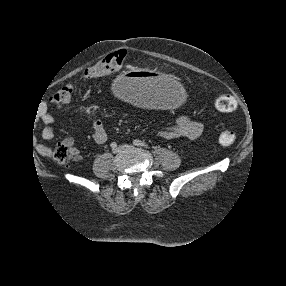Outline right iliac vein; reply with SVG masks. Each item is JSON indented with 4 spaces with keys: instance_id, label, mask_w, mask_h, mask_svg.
Listing matches in <instances>:
<instances>
[{
    "instance_id": "1",
    "label": "right iliac vein",
    "mask_w": 286,
    "mask_h": 286,
    "mask_svg": "<svg viewBox=\"0 0 286 286\" xmlns=\"http://www.w3.org/2000/svg\"><path fill=\"white\" fill-rule=\"evenodd\" d=\"M112 152H113L114 154H118V153L120 152V150H119V148H114V149L112 150Z\"/></svg>"
}]
</instances>
